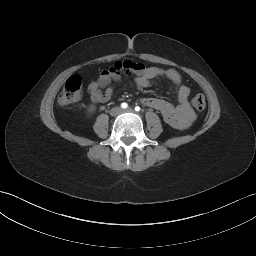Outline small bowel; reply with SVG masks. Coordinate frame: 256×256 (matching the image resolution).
<instances>
[{
  "label": "small bowel",
  "mask_w": 256,
  "mask_h": 256,
  "mask_svg": "<svg viewBox=\"0 0 256 256\" xmlns=\"http://www.w3.org/2000/svg\"><path fill=\"white\" fill-rule=\"evenodd\" d=\"M121 72L133 73L134 82L139 88L148 87L151 80L160 76L169 79L177 87L178 105L154 97H144L141 99L142 103L158 111L164 121L175 129H185L193 122L195 114L188 100L190 89L182 83L180 73L173 68L162 69L130 60L115 62L109 68L102 70L98 79L88 85L91 101L94 103L108 102L113 95V88L109 84L112 81H120Z\"/></svg>",
  "instance_id": "small-bowel-1"
}]
</instances>
